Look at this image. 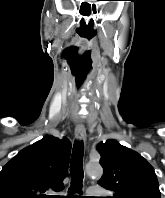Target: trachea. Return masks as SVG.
<instances>
[{
    "label": "trachea",
    "mask_w": 165,
    "mask_h": 198,
    "mask_svg": "<svg viewBox=\"0 0 165 198\" xmlns=\"http://www.w3.org/2000/svg\"><path fill=\"white\" fill-rule=\"evenodd\" d=\"M83 155L84 145L82 142H75L72 150L70 173H71V186L69 188L70 193L78 192L82 190L83 181ZM68 198H83L82 196H68Z\"/></svg>",
    "instance_id": "3493384b"
}]
</instances>
